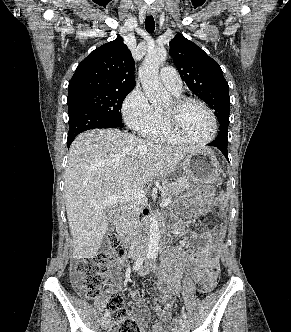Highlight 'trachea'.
I'll return each instance as SVG.
<instances>
[{"mask_svg": "<svg viewBox=\"0 0 291 332\" xmlns=\"http://www.w3.org/2000/svg\"><path fill=\"white\" fill-rule=\"evenodd\" d=\"M145 29L149 33H152L155 30V22H154V18L152 15L146 17Z\"/></svg>", "mask_w": 291, "mask_h": 332, "instance_id": "3493384b", "label": "trachea"}]
</instances>
